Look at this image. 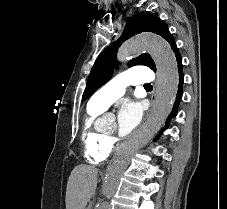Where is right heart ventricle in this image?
Masks as SVG:
<instances>
[{"label": "right heart ventricle", "mask_w": 227, "mask_h": 209, "mask_svg": "<svg viewBox=\"0 0 227 209\" xmlns=\"http://www.w3.org/2000/svg\"><path fill=\"white\" fill-rule=\"evenodd\" d=\"M103 109L88 106L82 120L81 139L84 144V157L90 164H104L112 152V141L103 132L95 128V123Z\"/></svg>", "instance_id": "obj_1"}]
</instances>
